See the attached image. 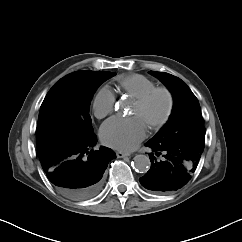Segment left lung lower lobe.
Returning a JSON list of instances; mask_svg holds the SVG:
<instances>
[{"instance_id":"1","label":"left lung lower lobe","mask_w":242,"mask_h":242,"mask_svg":"<svg viewBox=\"0 0 242 242\" xmlns=\"http://www.w3.org/2000/svg\"><path fill=\"white\" fill-rule=\"evenodd\" d=\"M152 149L149 153L150 170L139 179L141 185L155 192L178 190L191 179L201 153L190 148L170 147L156 144L150 140L145 144ZM162 159L158 161L156 156Z\"/></svg>"}]
</instances>
